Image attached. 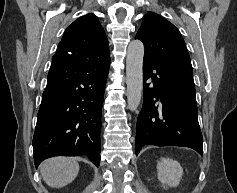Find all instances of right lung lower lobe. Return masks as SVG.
<instances>
[{"label":"right lung lower lobe","mask_w":237,"mask_h":193,"mask_svg":"<svg viewBox=\"0 0 237 193\" xmlns=\"http://www.w3.org/2000/svg\"><path fill=\"white\" fill-rule=\"evenodd\" d=\"M110 57L77 62L54 55L33 137L35 166L53 156L87 155L100 164V129Z\"/></svg>","instance_id":"obj_1"}]
</instances>
